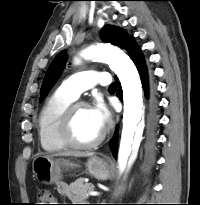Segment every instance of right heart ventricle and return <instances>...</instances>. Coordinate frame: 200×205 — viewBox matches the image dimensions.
Returning a JSON list of instances; mask_svg holds the SVG:
<instances>
[{
    "mask_svg": "<svg viewBox=\"0 0 200 205\" xmlns=\"http://www.w3.org/2000/svg\"><path fill=\"white\" fill-rule=\"evenodd\" d=\"M74 100L58 89L43 105L38 117V135L45 151L58 152L67 147L59 136V124L64 111Z\"/></svg>",
    "mask_w": 200,
    "mask_h": 205,
    "instance_id": "obj_1",
    "label": "right heart ventricle"
}]
</instances>
